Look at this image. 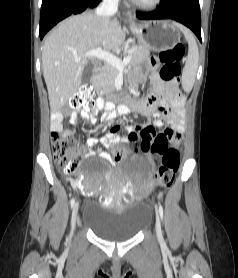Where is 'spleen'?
<instances>
[{
    "instance_id": "1",
    "label": "spleen",
    "mask_w": 238,
    "mask_h": 278,
    "mask_svg": "<svg viewBox=\"0 0 238 278\" xmlns=\"http://www.w3.org/2000/svg\"><path fill=\"white\" fill-rule=\"evenodd\" d=\"M175 25L183 32L188 41V56L182 72V87L184 91L190 92L194 85L198 69V46L192 32L189 29L177 23H175Z\"/></svg>"
}]
</instances>
